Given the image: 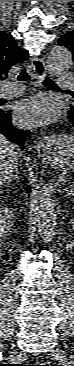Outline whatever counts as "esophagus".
Masks as SVG:
<instances>
[{
    "mask_svg": "<svg viewBox=\"0 0 74 366\" xmlns=\"http://www.w3.org/2000/svg\"><path fill=\"white\" fill-rule=\"evenodd\" d=\"M31 66L34 71L35 78L37 79V81L39 83H41L45 79L46 73H47L46 62H45L44 57H32ZM38 148L41 151H46L48 148L47 141L40 140L38 143Z\"/></svg>",
    "mask_w": 74,
    "mask_h": 366,
    "instance_id": "obj_1",
    "label": "esophagus"
}]
</instances>
